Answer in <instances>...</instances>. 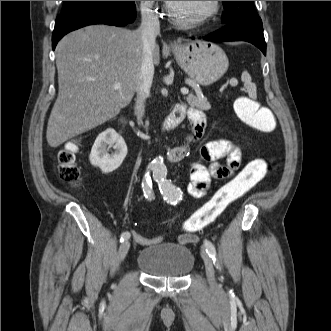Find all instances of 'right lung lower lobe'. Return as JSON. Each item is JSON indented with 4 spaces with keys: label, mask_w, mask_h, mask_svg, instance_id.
<instances>
[{
    "label": "right lung lower lobe",
    "mask_w": 331,
    "mask_h": 331,
    "mask_svg": "<svg viewBox=\"0 0 331 331\" xmlns=\"http://www.w3.org/2000/svg\"><path fill=\"white\" fill-rule=\"evenodd\" d=\"M136 18L134 1L106 2L89 5L66 14H60L55 22L52 48L67 33L92 24H106L122 27Z\"/></svg>",
    "instance_id": "right-lung-lower-lobe-1"
}]
</instances>
